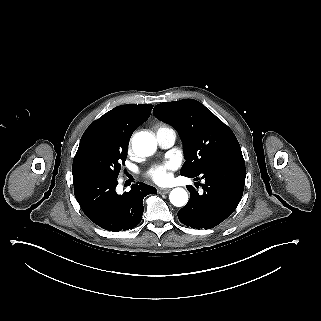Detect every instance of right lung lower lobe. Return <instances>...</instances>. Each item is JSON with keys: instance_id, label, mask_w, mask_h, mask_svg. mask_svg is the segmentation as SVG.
<instances>
[{"instance_id": "right-lung-lower-lobe-1", "label": "right lung lower lobe", "mask_w": 321, "mask_h": 321, "mask_svg": "<svg viewBox=\"0 0 321 321\" xmlns=\"http://www.w3.org/2000/svg\"><path fill=\"white\" fill-rule=\"evenodd\" d=\"M74 194L84 214L108 231L133 229L142 219L143 198L156 188L143 182L123 195L116 193L117 179L96 173L73 174Z\"/></svg>"}]
</instances>
